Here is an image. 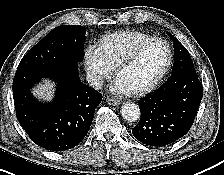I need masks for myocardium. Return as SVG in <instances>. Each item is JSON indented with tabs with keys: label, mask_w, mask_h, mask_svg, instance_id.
<instances>
[{
	"label": "myocardium",
	"mask_w": 224,
	"mask_h": 175,
	"mask_svg": "<svg viewBox=\"0 0 224 175\" xmlns=\"http://www.w3.org/2000/svg\"><path fill=\"white\" fill-rule=\"evenodd\" d=\"M155 43H162L166 46L167 52H168L167 60L163 68L161 69V71L157 74V76L151 82L137 89L130 90L129 93L131 95H142L153 90L164 78V76L166 75V73L168 72L171 66L172 59H173V52H172V48L170 44L166 40L161 38L150 39L140 44L139 46H137L129 55H127L123 60H121L120 63L116 67V75L119 76L122 70H124L126 67L134 63L146 48H148L149 46Z\"/></svg>",
	"instance_id": "obj_1"
}]
</instances>
